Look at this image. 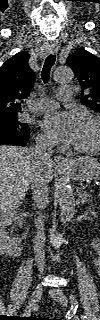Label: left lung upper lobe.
I'll use <instances>...</instances> for the list:
<instances>
[{
  "mask_svg": "<svg viewBox=\"0 0 100 320\" xmlns=\"http://www.w3.org/2000/svg\"><path fill=\"white\" fill-rule=\"evenodd\" d=\"M82 85V104L100 113V58L79 48L67 61Z\"/></svg>",
  "mask_w": 100,
  "mask_h": 320,
  "instance_id": "obj_1",
  "label": "left lung upper lobe"
}]
</instances>
